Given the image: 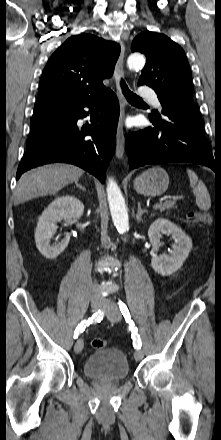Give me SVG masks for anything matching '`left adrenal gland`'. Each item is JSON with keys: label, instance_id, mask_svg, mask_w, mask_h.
Returning a JSON list of instances; mask_svg holds the SVG:
<instances>
[{"label": "left adrenal gland", "instance_id": "obj_1", "mask_svg": "<svg viewBox=\"0 0 221 440\" xmlns=\"http://www.w3.org/2000/svg\"><path fill=\"white\" fill-rule=\"evenodd\" d=\"M146 212H147V210L146 209H142L140 202H138V212L136 214V220L138 222H140L142 220L143 214L146 213Z\"/></svg>", "mask_w": 221, "mask_h": 440}]
</instances>
